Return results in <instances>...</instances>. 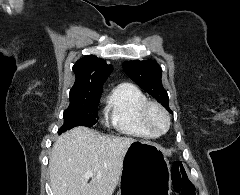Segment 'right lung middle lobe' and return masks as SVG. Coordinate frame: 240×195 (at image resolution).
Returning <instances> with one entry per match:
<instances>
[{
    "instance_id": "1",
    "label": "right lung middle lobe",
    "mask_w": 240,
    "mask_h": 195,
    "mask_svg": "<svg viewBox=\"0 0 240 195\" xmlns=\"http://www.w3.org/2000/svg\"><path fill=\"white\" fill-rule=\"evenodd\" d=\"M100 97L70 99V105L64 111V124L59 133L75 126L91 127L98 121V104Z\"/></svg>"
}]
</instances>
